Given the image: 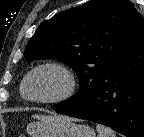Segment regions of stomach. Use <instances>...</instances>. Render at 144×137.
Segmentation results:
<instances>
[{"mask_svg": "<svg viewBox=\"0 0 144 137\" xmlns=\"http://www.w3.org/2000/svg\"><path fill=\"white\" fill-rule=\"evenodd\" d=\"M26 131L30 137H95V131L91 127L76 124L65 116L32 122Z\"/></svg>", "mask_w": 144, "mask_h": 137, "instance_id": "1", "label": "stomach"}]
</instances>
